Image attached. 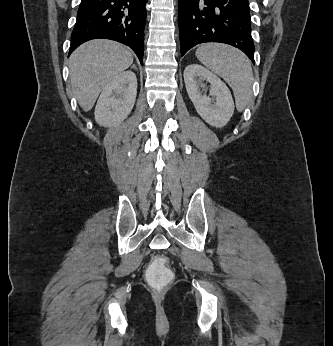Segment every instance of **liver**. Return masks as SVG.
Instances as JSON below:
<instances>
[{"label": "liver", "instance_id": "1", "mask_svg": "<svg viewBox=\"0 0 333 346\" xmlns=\"http://www.w3.org/2000/svg\"><path fill=\"white\" fill-rule=\"evenodd\" d=\"M133 63L132 53L115 41L96 39L79 46L69 61L73 94L87 112L105 86Z\"/></svg>", "mask_w": 333, "mask_h": 346}]
</instances>
